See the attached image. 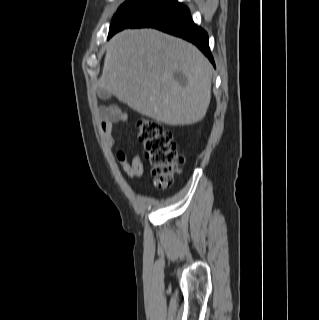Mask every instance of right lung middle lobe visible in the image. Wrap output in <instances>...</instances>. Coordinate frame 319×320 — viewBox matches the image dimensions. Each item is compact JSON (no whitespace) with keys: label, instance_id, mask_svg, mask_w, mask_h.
<instances>
[{"label":"right lung middle lobe","instance_id":"1","mask_svg":"<svg viewBox=\"0 0 319 320\" xmlns=\"http://www.w3.org/2000/svg\"><path fill=\"white\" fill-rule=\"evenodd\" d=\"M178 3L176 0H127L113 17L110 31L130 27L145 17L166 10Z\"/></svg>","mask_w":319,"mask_h":320}]
</instances>
